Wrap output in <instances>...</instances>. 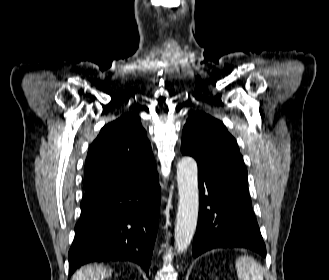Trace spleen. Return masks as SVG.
Returning <instances> with one entry per match:
<instances>
[{"mask_svg": "<svg viewBox=\"0 0 329 280\" xmlns=\"http://www.w3.org/2000/svg\"><path fill=\"white\" fill-rule=\"evenodd\" d=\"M235 267L239 280H263L261 266L249 256H241L236 260Z\"/></svg>", "mask_w": 329, "mask_h": 280, "instance_id": "obj_1", "label": "spleen"}]
</instances>
